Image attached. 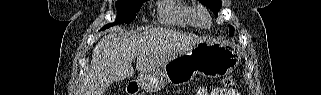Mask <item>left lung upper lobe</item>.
<instances>
[{
	"label": "left lung upper lobe",
	"mask_w": 321,
	"mask_h": 95,
	"mask_svg": "<svg viewBox=\"0 0 321 95\" xmlns=\"http://www.w3.org/2000/svg\"><path fill=\"white\" fill-rule=\"evenodd\" d=\"M200 3L206 5L214 13H218L222 5L221 0H199ZM233 26L229 25V34H233Z\"/></svg>",
	"instance_id": "obj_1"
}]
</instances>
